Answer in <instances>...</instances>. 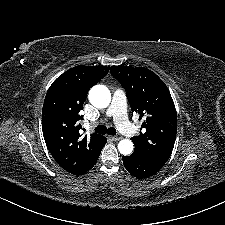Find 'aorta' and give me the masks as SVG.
<instances>
[{
    "label": "aorta",
    "mask_w": 225,
    "mask_h": 225,
    "mask_svg": "<svg viewBox=\"0 0 225 225\" xmlns=\"http://www.w3.org/2000/svg\"><path fill=\"white\" fill-rule=\"evenodd\" d=\"M90 103L96 108H106L111 102V93L104 85L93 86L88 94ZM134 144L129 139H123L118 143V150L122 155L128 156L133 152Z\"/></svg>",
    "instance_id": "obj_1"
}]
</instances>
